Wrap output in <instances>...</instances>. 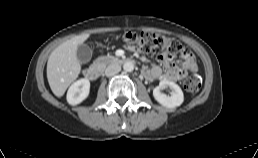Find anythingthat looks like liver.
Here are the masks:
<instances>
[{
	"mask_svg": "<svg viewBox=\"0 0 258 158\" xmlns=\"http://www.w3.org/2000/svg\"><path fill=\"white\" fill-rule=\"evenodd\" d=\"M89 36L88 33L75 36L51 52L47 62V79L55 96H63L68 86L78 77L81 66L76 54L77 48Z\"/></svg>",
	"mask_w": 258,
	"mask_h": 158,
	"instance_id": "liver-1",
	"label": "liver"
}]
</instances>
